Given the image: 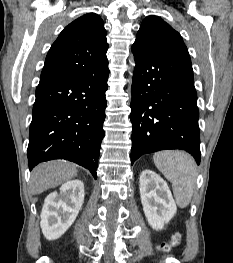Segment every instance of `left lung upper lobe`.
I'll use <instances>...</instances> for the list:
<instances>
[{
    "label": "left lung upper lobe",
    "mask_w": 233,
    "mask_h": 263,
    "mask_svg": "<svg viewBox=\"0 0 233 263\" xmlns=\"http://www.w3.org/2000/svg\"><path fill=\"white\" fill-rule=\"evenodd\" d=\"M133 46L155 53L190 58L180 34L157 16L144 19Z\"/></svg>",
    "instance_id": "left-lung-upper-lobe-1"
}]
</instances>
